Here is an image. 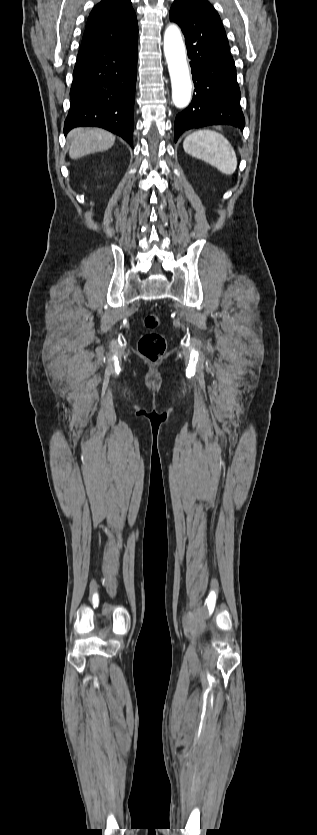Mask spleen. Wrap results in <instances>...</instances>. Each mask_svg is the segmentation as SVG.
<instances>
[{
	"instance_id": "3e777b00",
	"label": "spleen",
	"mask_w": 317,
	"mask_h": 835,
	"mask_svg": "<svg viewBox=\"0 0 317 835\" xmlns=\"http://www.w3.org/2000/svg\"><path fill=\"white\" fill-rule=\"evenodd\" d=\"M183 148L189 155L207 162L227 176L237 168L234 148L225 136L216 131H194L185 138Z\"/></svg>"
}]
</instances>
